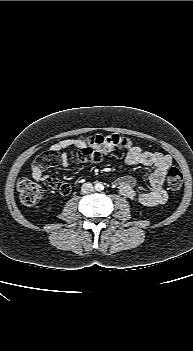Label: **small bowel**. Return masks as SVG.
<instances>
[{
  "label": "small bowel",
  "instance_id": "small-bowel-1",
  "mask_svg": "<svg viewBox=\"0 0 193 351\" xmlns=\"http://www.w3.org/2000/svg\"><path fill=\"white\" fill-rule=\"evenodd\" d=\"M99 137H101L103 141L98 147L101 153L108 154L116 148H120L126 153L125 161L128 165L142 166L151 169L148 179L149 189L147 191H138L135 187V180L130 176H124L116 181L119 192L124 197L136 200L144 206L152 207L164 204L167 200V193L163 188V183L166 173L172 165L171 157L163 153L146 151L142 147L135 145L127 137L116 134ZM84 145V141L80 139H63L52 144L50 150L60 153L61 165L63 167H68L69 157L66 151L70 148H81ZM32 175L34 179L43 181L50 186V177L41 172H32Z\"/></svg>",
  "mask_w": 193,
  "mask_h": 351
}]
</instances>
